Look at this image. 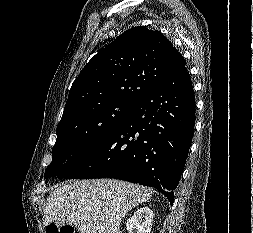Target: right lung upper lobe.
<instances>
[{"label": "right lung upper lobe", "instance_id": "1", "mask_svg": "<svg viewBox=\"0 0 253 233\" xmlns=\"http://www.w3.org/2000/svg\"><path fill=\"white\" fill-rule=\"evenodd\" d=\"M185 64L183 56L160 31L145 26L129 29L82 69L72 84L62 117L105 100L135 101Z\"/></svg>", "mask_w": 253, "mask_h": 233}]
</instances>
